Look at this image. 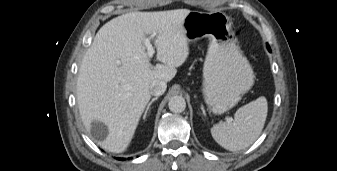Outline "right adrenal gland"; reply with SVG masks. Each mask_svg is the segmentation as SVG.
<instances>
[{"instance_id":"right-adrenal-gland-1","label":"right adrenal gland","mask_w":337,"mask_h":171,"mask_svg":"<svg viewBox=\"0 0 337 171\" xmlns=\"http://www.w3.org/2000/svg\"><path fill=\"white\" fill-rule=\"evenodd\" d=\"M158 99V97H155V98H153L150 102H149V104L147 105V108H146V110H145V112H144V115H143V119L145 120V118H146V116H147V113H148V111H149V109H150V106L152 105V103L155 101V100H157Z\"/></svg>"}]
</instances>
